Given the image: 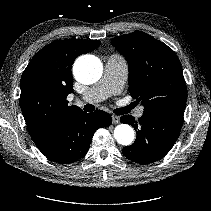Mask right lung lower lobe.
Here are the masks:
<instances>
[{
  "label": "right lung lower lobe",
  "mask_w": 211,
  "mask_h": 211,
  "mask_svg": "<svg viewBox=\"0 0 211 211\" xmlns=\"http://www.w3.org/2000/svg\"><path fill=\"white\" fill-rule=\"evenodd\" d=\"M110 114L97 110L87 114L80 111L64 121L38 149L50 160L68 164L82 158L89 150L98 128L111 124Z\"/></svg>",
  "instance_id": "98d812e1"
}]
</instances>
